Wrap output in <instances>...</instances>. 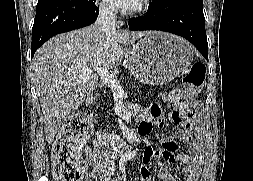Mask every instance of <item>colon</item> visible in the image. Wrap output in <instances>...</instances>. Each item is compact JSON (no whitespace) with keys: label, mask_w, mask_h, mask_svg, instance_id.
<instances>
[{"label":"colon","mask_w":253,"mask_h":181,"mask_svg":"<svg viewBox=\"0 0 253 181\" xmlns=\"http://www.w3.org/2000/svg\"><path fill=\"white\" fill-rule=\"evenodd\" d=\"M206 68L202 62H195L183 80L184 100L190 103L201 90ZM187 118L194 116L192 107L184 108ZM91 133V127L82 115H76L66 121L52 150L54 160V179L56 181H92L87 176L85 163L81 157V146Z\"/></svg>","instance_id":"colon-1"}]
</instances>
